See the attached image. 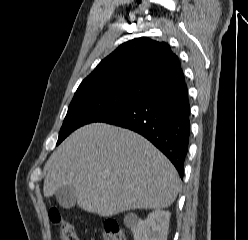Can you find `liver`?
Listing matches in <instances>:
<instances>
[{"mask_svg": "<svg viewBox=\"0 0 248 240\" xmlns=\"http://www.w3.org/2000/svg\"><path fill=\"white\" fill-rule=\"evenodd\" d=\"M45 169L46 198L72 185L77 205L103 217L130 209L167 208L180 189L175 167L148 140L104 123L73 132Z\"/></svg>", "mask_w": 248, "mask_h": 240, "instance_id": "obj_1", "label": "liver"}]
</instances>
